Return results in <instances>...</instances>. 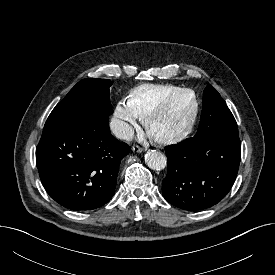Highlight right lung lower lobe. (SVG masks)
<instances>
[{
    "label": "right lung lower lobe",
    "mask_w": 275,
    "mask_h": 275,
    "mask_svg": "<svg viewBox=\"0 0 275 275\" xmlns=\"http://www.w3.org/2000/svg\"><path fill=\"white\" fill-rule=\"evenodd\" d=\"M129 152L102 117L83 127L43 131L36 163L52 199L70 210H92L112 199L120 161Z\"/></svg>",
    "instance_id": "obj_1"
}]
</instances>
